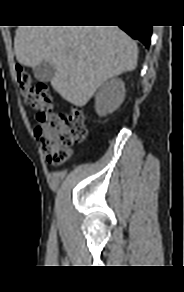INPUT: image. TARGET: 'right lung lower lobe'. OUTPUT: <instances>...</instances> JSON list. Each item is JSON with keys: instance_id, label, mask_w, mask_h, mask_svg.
I'll return each mask as SVG.
<instances>
[{"instance_id": "obj_1", "label": "right lung lower lobe", "mask_w": 184, "mask_h": 292, "mask_svg": "<svg viewBox=\"0 0 184 292\" xmlns=\"http://www.w3.org/2000/svg\"><path fill=\"white\" fill-rule=\"evenodd\" d=\"M127 34L133 39H137L142 42L145 47L150 45V37L152 34V27L145 25H124L120 26Z\"/></svg>"}]
</instances>
